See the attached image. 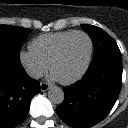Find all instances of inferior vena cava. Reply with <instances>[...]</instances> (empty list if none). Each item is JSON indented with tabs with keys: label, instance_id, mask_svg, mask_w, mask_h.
I'll list each match as a JSON object with an SVG mask.
<instances>
[{
	"label": "inferior vena cava",
	"instance_id": "obj_1",
	"mask_svg": "<svg viewBox=\"0 0 128 128\" xmlns=\"http://www.w3.org/2000/svg\"><path fill=\"white\" fill-rule=\"evenodd\" d=\"M26 72L30 77L34 79H39L43 76V73L40 70L33 67L26 68Z\"/></svg>",
	"mask_w": 128,
	"mask_h": 128
}]
</instances>
